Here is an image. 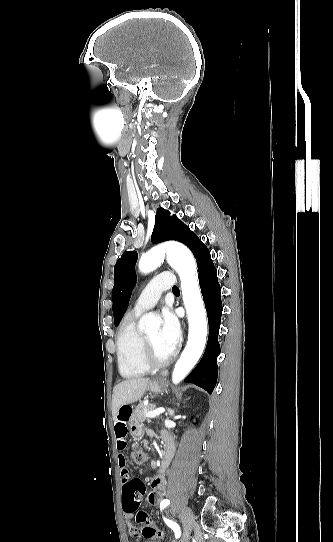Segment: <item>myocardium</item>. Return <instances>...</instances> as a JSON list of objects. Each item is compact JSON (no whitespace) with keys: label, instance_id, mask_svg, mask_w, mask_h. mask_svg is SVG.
<instances>
[{"label":"myocardium","instance_id":"myocardium-1","mask_svg":"<svg viewBox=\"0 0 333 542\" xmlns=\"http://www.w3.org/2000/svg\"><path fill=\"white\" fill-rule=\"evenodd\" d=\"M176 351L166 359H158L154 355L152 346L145 335L141 338L140 357L142 363L149 369H159L168 366L176 357Z\"/></svg>","mask_w":333,"mask_h":542}]
</instances>
